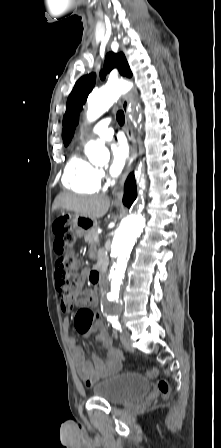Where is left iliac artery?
Instances as JSON below:
<instances>
[{"label":"left iliac artery","mask_w":221,"mask_h":448,"mask_svg":"<svg viewBox=\"0 0 221 448\" xmlns=\"http://www.w3.org/2000/svg\"><path fill=\"white\" fill-rule=\"evenodd\" d=\"M108 320L112 323V326L119 330L120 332L122 331L121 325L118 321V317L117 316H109Z\"/></svg>","instance_id":"1"}]
</instances>
